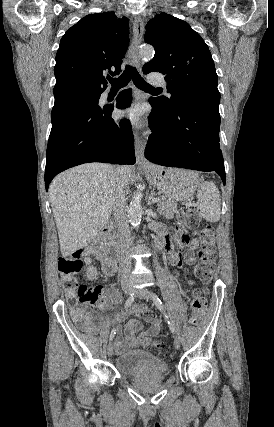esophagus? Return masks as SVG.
Segmentation results:
<instances>
[{
  "instance_id": "esophagus-1",
  "label": "esophagus",
  "mask_w": 274,
  "mask_h": 427,
  "mask_svg": "<svg viewBox=\"0 0 274 427\" xmlns=\"http://www.w3.org/2000/svg\"><path fill=\"white\" fill-rule=\"evenodd\" d=\"M143 34H144V21L140 17H135L133 21V38H132V44L130 49V59H131V63L138 68L140 67V63L138 60V51L142 41ZM134 139H135V155H136L137 163L139 165H150L144 156L145 140L138 133H135Z\"/></svg>"
}]
</instances>
